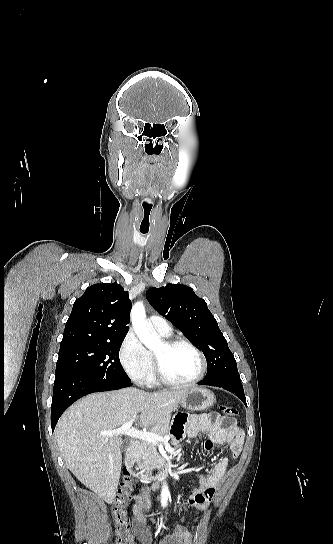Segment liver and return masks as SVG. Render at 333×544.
<instances>
[{
    "label": "liver",
    "mask_w": 333,
    "mask_h": 544,
    "mask_svg": "<svg viewBox=\"0 0 333 544\" xmlns=\"http://www.w3.org/2000/svg\"><path fill=\"white\" fill-rule=\"evenodd\" d=\"M185 392L125 388L78 400L63 413L55 429L67 468L87 488L111 503L121 474L123 442L101 432L120 428L133 418L140 427L158 424L170 417Z\"/></svg>",
    "instance_id": "obj_1"
}]
</instances>
